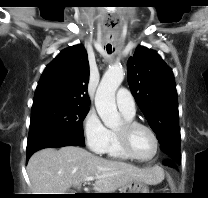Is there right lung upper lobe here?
I'll return each instance as SVG.
<instances>
[{
    "label": "right lung upper lobe",
    "mask_w": 208,
    "mask_h": 198,
    "mask_svg": "<svg viewBox=\"0 0 208 198\" xmlns=\"http://www.w3.org/2000/svg\"><path fill=\"white\" fill-rule=\"evenodd\" d=\"M88 82L89 62L85 48L81 44L66 48L45 68L32 108L51 103L89 106Z\"/></svg>",
    "instance_id": "right-lung-upper-lobe-1"
}]
</instances>
